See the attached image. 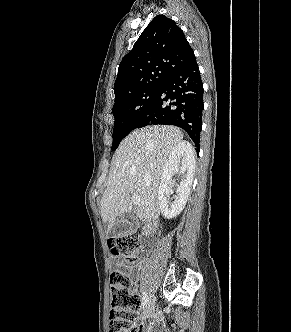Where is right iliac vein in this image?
Listing matches in <instances>:
<instances>
[{
    "label": "right iliac vein",
    "instance_id": "63e3f726",
    "mask_svg": "<svg viewBox=\"0 0 291 332\" xmlns=\"http://www.w3.org/2000/svg\"><path fill=\"white\" fill-rule=\"evenodd\" d=\"M154 307H155V299L153 296H151L149 298L148 304L143 312L142 318H144V319L147 318L151 314Z\"/></svg>",
    "mask_w": 291,
    "mask_h": 332
}]
</instances>
